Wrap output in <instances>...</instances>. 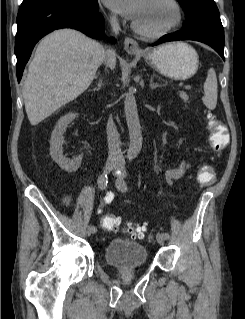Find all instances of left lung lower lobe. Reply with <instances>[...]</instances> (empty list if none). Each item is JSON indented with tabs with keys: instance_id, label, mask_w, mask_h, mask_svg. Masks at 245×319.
I'll return each mask as SVG.
<instances>
[{
	"instance_id": "0a47b994",
	"label": "left lung lower lobe",
	"mask_w": 245,
	"mask_h": 319,
	"mask_svg": "<svg viewBox=\"0 0 245 319\" xmlns=\"http://www.w3.org/2000/svg\"><path fill=\"white\" fill-rule=\"evenodd\" d=\"M176 40H196L211 46L222 58H224V35L206 27L183 28L161 37L153 45Z\"/></svg>"
}]
</instances>
